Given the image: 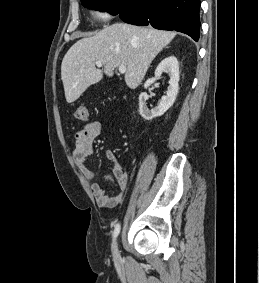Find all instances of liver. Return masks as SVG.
<instances>
[{
	"label": "liver",
	"mask_w": 259,
	"mask_h": 283,
	"mask_svg": "<svg viewBox=\"0 0 259 283\" xmlns=\"http://www.w3.org/2000/svg\"><path fill=\"white\" fill-rule=\"evenodd\" d=\"M176 36L175 32L115 23L92 37L77 41L65 54L61 79L68 103L76 101L91 85L113 76L115 67L126 66L125 82L137 88L151 62ZM96 61L104 68L96 69Z\"/></svg>",
	"instance_id": "liver-1"
}]
</instances>
